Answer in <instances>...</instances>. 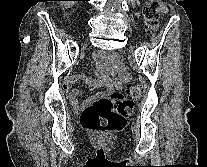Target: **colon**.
Here are the masks:
<instances>
[{
	"label": "colon",
	"instance_id": "5ec220e1",
	"mask_svg": "<svg viewBox=\"0 0 207 167\" xmlns=\"http://www.w3.org/2000/svg\"><path fill=\"white\" fill-rule=\"evenodd\" d=\"M164 0H151L144 8V17L149 29L155 30L160 15L166 13ZM114 60L117 55H112ZM143 93V87L137 84H126L125 93L112 90L99 100L88 106L81 114V125L84 129L106 134L125 126L127 118L133 110L134 100Z\"/></svg>",
	"mask_w": 207,
	"mask_h": 167
}]
</instances>
